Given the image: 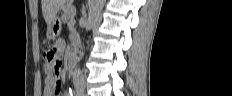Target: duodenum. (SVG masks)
<instances>
[{"label": "duodenum", "mask_w": 232, "mask_h": 96, "mask_svg": "<svg viewBox=\"0 0 232 96\" xmlns=\"http://www.w3.org/2000/svg\"><path fill=\"white\" fill-rule=\"evenodd\" d=\"M79 55H80V50H79L78 46H75L74 49L70 53L68 66H67V72L68 73L73 72V70H74V68H75V66L77 64Z\"/></svg>", "instance_id": "410a0bca"}]
</instances>
